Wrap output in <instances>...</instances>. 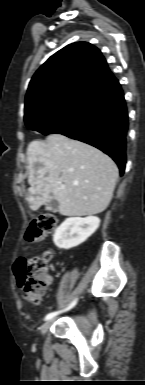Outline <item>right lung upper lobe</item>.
I'll use <instances>...</instances> for the list:
<instances>
[{
	"mask_svg": "<svg viewBox=\"0 0 145 385\" xmlns=\"http://www.w3.org/2000/svg\"><path fill=\"white\" fill-rule=\"evenodd\" d=\"M115 81L99 49L87 42L70 44L52 55L32 77L25 114L66 91L99 92Z\"/></svg>",
	"mask_w": 145,
	"mask_h": 385,
	"instance_id": "cb5924a9",
	"label": "right lung upper lobe"
}]
</instances>
